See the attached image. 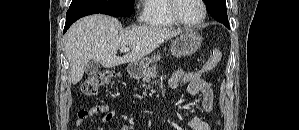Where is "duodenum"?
<instances>
[{
	"mask_svg": "<svg viewBox=\"0 0 299 130\" xmlns=\"http://www.w3.org/2000/svg\"><path fill=\"white\" fill-rule=\"evenodd\" d=\"M128 73H129L131 76L135 75V71H134L133 68H129V69H128Z\"/></svg>",
	"mask_w": 299,
	"mask_h": 130,
	"instance_id": "duodenum-1",
	"label": "duodenum"
}]
</instances>
